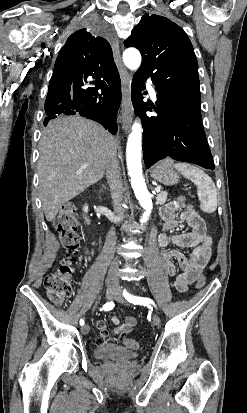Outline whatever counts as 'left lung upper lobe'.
<instances>
[{
	"instance_id": "left-lung-upper-lobe-1",
	"label": "left lung upper lobe",
	"mask_w": 247,
	"mask_h": 413,
	"mask_svg": "<svg viewBox=\"0 0 247 413\" xmlns=\"http://www.w3.org/2000/svg\"><path fill=\"white\" fill-rule=\"evenodd\" d=\"M124 45L140 50L137 73L150 77L157 92L201 104L197 59L181 27L168 18L145 14Z\"/></svg>"
}]
</instances>
